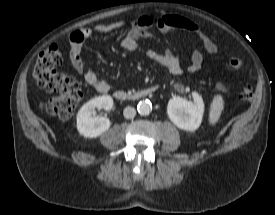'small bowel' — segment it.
I'll return each mask as SVG.
<instances>
[{
	"label": "small bowel",
	"instance_id": "1",
	"mask_svg": "<svg viewBox=\"0 0 275 215\" xmlns=\"http://www.w3.org/2000/svg\"><path fill=\"white\" fill-rule=\"evenodd\" d=\"M122 21H115L107 24H100L93 28H81L70 35L69 58L74 69L83 76L84 81L95 90L101 93H106L109 89L106 82L100 80L94 70L92 63L84 60L82 57V47L85 40L90 38L93 34H105L112 31L121 30L125 27ZM157 27L160 31L165 33H188L196 37L201 46L210 54L217 53V46L204 33L199 26L192 20L173 14L163 15L155 18L149 14H143L134 18L126 32L124 33L120 45L130 52H142L149 60L163 65L173 75L182 73V65L178 58L169 50L157 51L153 49H142L139 40L142 38H150V29ZM203 63V55L201 51L194 48L190 64L188 66L189 72H197L200 70Z\"/></svg>",
	"mask_w": 275,
	"mask_h": 215
}]
</instances>
